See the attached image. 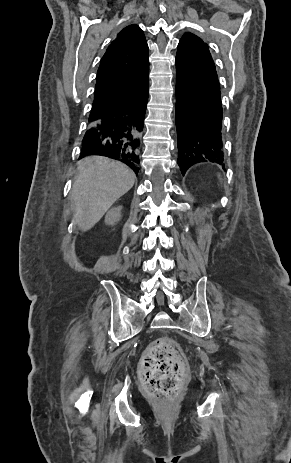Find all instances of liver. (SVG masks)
<instances>
[{"label":"liver","instance_id":"obj_1","mask_svg":"<svg viewBox=\"0 0 291 463\" xmlns=\"http://www.w3.org/2000/svg\"><path fill=\"white\" fill-rule=\"evenodd\" d=\"M77 165L71 191L73 223L85 232L133 187L135 175L126 165L101 156L86 157Z\"/></svg>","mask_w":291,"mask_h":463}]
</instances>
